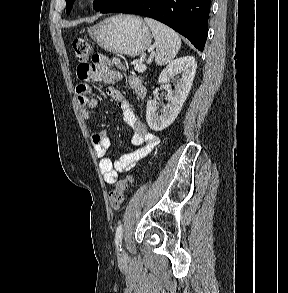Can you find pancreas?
I'll return each instance as SVG.
<instances>
[{
	"label": "pancreas",
	"instance_id": "obj_1",
	"mask_svg": "<svg viewBox=\"0 0 288 293\" xmlns=\"http://www.w3.org/2000/svg\"><path fill=\"white\" fill-rule=\"evenodd\" d=\"M134 64H135V65H139V64H141V63H140V62H135Z\"/></svg>",
	"mask_w": 288,
	"mask_h": 293
}]
</instances>
